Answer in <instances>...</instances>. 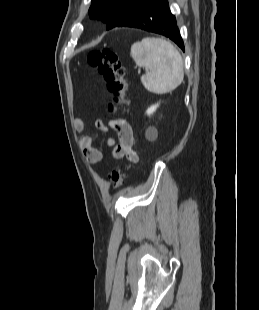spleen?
I'll return each instance as SVG.
<instances>
[{
  "instance_id": "obj_1",
  "label": "spleen",
  "mask_w": 259,
  "mask_h": 310,
  "mask_svg": "<svg viewBox=\"0 0 259 310\" xmlns=\"http://www.w3.org/2000/svg\"><path fill=\"white\" fill-rule=\"evenodd\" d=\"M130 55L138 66L146 68L141 82L148 91L164 94L183 82V59L170 42L146 37L131 46Z\"/></svg>"
}]
</instances>
